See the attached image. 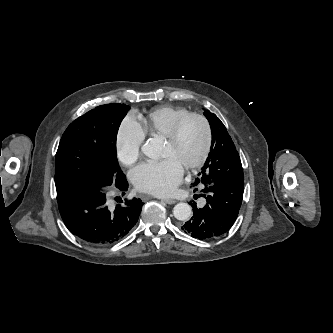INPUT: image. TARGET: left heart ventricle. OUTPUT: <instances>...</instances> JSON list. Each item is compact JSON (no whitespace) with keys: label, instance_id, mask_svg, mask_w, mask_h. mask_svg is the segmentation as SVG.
<instances>
[{"label":"left heart ventricle","instance_id":"1","mask_svg":"<svg viewBox=\"0 0 333 333\" xmlns=\"http://www.w3.org/2000/svg\"><path fill=\"white\" fill-rule=\"evenodd\" d=\"M205 131L198 120L188 121L175 144L165 142L163 157L175 159L183 168L195 162L204 147Z\"/></svg>","mask_w":333,"mask_h":333}]
</instances>
